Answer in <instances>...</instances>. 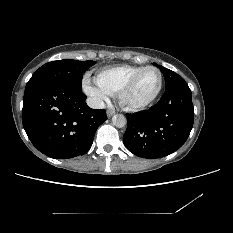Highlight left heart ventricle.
<instances>
[{"label":"left heart ventricle","instance_id":"b2bd125f","mask_svg":"<svg viewBox=\"0 0 233 233\" xmlns=\"http://www.w3.org/2000/svg\"><path fill=\"white\" fill-rule=\"evenodd\" d=\"M158 84V73L155 70L146 71L128 94V101L130 103H140L150 98L157 90Z\"/></svg>","mask_w":233,"mask_h":233}]
</instances>
